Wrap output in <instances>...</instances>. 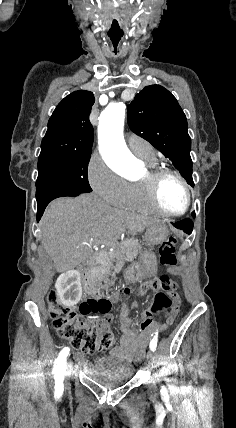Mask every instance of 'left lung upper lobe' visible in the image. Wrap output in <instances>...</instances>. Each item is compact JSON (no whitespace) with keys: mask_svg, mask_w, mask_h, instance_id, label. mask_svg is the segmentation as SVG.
<instances>
[{"mask_svg":"<svg viewBox=\"0 0 236 428\" xmlns=\"http://www.w3.org/2000/svg\"><path fill=\"white\" fill-rule=\"evenodd\" d=\"M130 129L169 158L193 187L191 139L176 98L160 85L146 86L128 106Z\"/></svg>","mask_w":236,"mask_h":428,"instance_id":"5c2ea615","label":"left lung upper lobe"}]
</instances>
